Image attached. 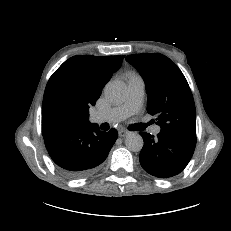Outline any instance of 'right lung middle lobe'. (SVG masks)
<instances>
[{
	"label": "right lung middle lobe",
	"mask_w": 231,
	"mask_h": 231,
	"mask_svg": "<svg viewBox=\"0 0 231 231\" xmlns=\"http://www.w3.org/2000/svg\"><path fill=\"white\" fill-rule=\"evenodd\" d=\"M88 113V106L73 95L65 79L48 82L42 103V135L75 129Z\"/></svg>",
	"instance_id": "dd1d6c3e"
}]
</instances>
